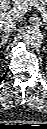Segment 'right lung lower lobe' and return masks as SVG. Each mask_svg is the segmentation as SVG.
<instances>
[{"label": "right lung lower lobe", "instance_id": "right-lung-lower-lobe-1", "mask_svg": "<svg viewBox=\"0 0 47 129\" xmlns=\"http://www.w3.org/2000/svg\"><path fill=\"white\" fill-rule=\"evenodd\" d=\"M5 75L0 79V82L4 79Z\"/></svg>", "mask_w": 47, "mask_h": 129}]
</instances>
